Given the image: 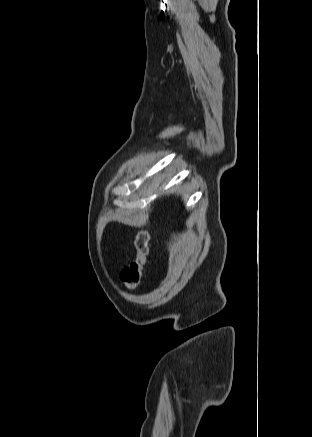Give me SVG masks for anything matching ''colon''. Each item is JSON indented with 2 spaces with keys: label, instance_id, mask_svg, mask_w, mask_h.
Listing matches in <instances>:
<instances>
[{
  "label": "colon",
  "instance_id": "1",
  "mask_svg": "<svg viewBox=\"0 0 312 437\" xmlns=\"http://www.w3.org/2000/svg\"><path fill=\"white\" fill-rule=\"evenodd\" d=\"M150 235L146 230L139 231L134 240L135 256L120 272L121 282L129 289L140 283L143 268L149 253Z\"/></svg>",
  "mask_w": 312,
  "mask_h": 437
}]
</instances>
